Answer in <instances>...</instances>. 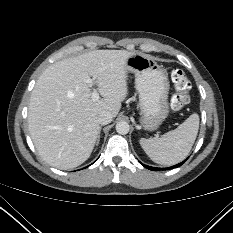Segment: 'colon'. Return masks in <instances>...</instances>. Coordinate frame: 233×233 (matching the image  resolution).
<instances>
[{
    "instance_id": "obj_1",
    "label": "colon",
    "mask_w": 233,
    "mask_h": 233,
    "mask_svg": "<svg viewBox=\"0 0 233 233\" xmlns=\"http://www.w3.org/2000/svg\"><path fill=\"white\" fill-rule=\"evenodd\" d=\"M170 77L175 89L170 101V106L173 111L177 112L182 110L189 103L191 82L187 74L179 68L173 69Z\"/></svg>"
}]
</instances>
